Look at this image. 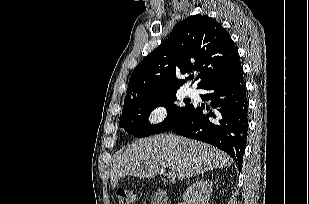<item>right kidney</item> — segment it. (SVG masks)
Segmentation results:
<instances>
[{
    "mask_svg": "<svg viewBox=\"0 0 309 204\" xmlns=\"http://www.w3.org/2000/svg\"><path fill=\"white\" fill-rule=\"evenodd\" d=\"M212 186L213 183L211 181H196L183 195L185 204H208Z\"/></svg>",
    "mask_w": 309,
    "mask_h": 204,
    "instance_id": "ca27d5eb",
    "label": "right kidney"
}]
</instances>
